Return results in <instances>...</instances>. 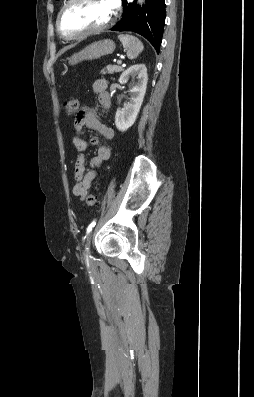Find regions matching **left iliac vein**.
<instances>
[{
    "mask_svg": "<svg viewBox=\"0 0 254 397\" xmlns=\"http://www.w3.org/2000/svg\"><path fill=\"white\" fill-rule=\"evenodd\" d=\"M91 238H92V233L89 235V238L87 239V242L85 245L86 255L88 258H91V252H90Z\"/></svg>",
    "mask_w": 254,
    "mask_h": 397,
    "instance_id": "4c4485c4",
    "label": "left iliac vein"
}]
</instances>
